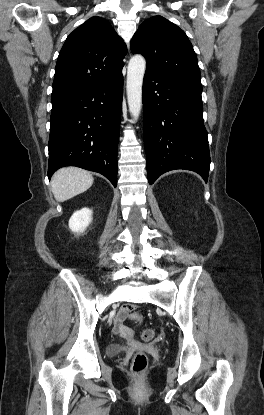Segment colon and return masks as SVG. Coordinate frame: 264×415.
<instances>
[{
    "label": "colon",
    "mask_w": 264,
    "mask_h": 415,
    "mask_svg": "<svg viewBox=\"0 0 264 415\" xmlns=\"http://www.w3.org/2000/svg\"><path fill=\"white\" fill-rule=\"evenodd\" d=\"M130 317L129 320L131 323H139L141 322L143 315L141 311L135 309L134 307L129 308ZM154 332L150 329L144 331L142 337L145 341H150L153 338ZM148 367V357L144 353H137L134 356L132 362V370L136 378L140 379L146 372Z\"/></svg>",
    "instance_id": "1"
}]
</instances>
